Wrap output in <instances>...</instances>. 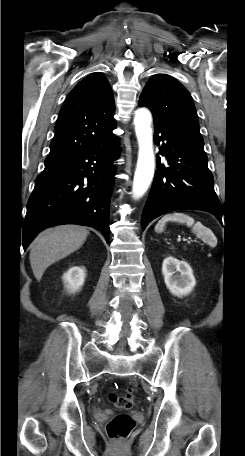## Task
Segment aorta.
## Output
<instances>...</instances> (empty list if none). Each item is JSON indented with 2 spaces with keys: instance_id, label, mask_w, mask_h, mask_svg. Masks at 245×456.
Returning a JSON list of instances; mask_svg holds the SVG:
<instances>
[{
  "instance_id": "obj_1",
  "label": "aorta",
  "mask_w": 245,
  "mask_h": 456,
  "mask_svg": "<svg viewBox=\"0 0 245 456\" xmlns=\"http://www.w3.org/2000/svg\"><path fill=\"white\" fill-rule=\"evenodd\" d=\"M152 116L149 110L140 108L135 112L134 125L139 151L133 180V194L137 199L148 189L155 168V158L151 130Z\"/></svg>"
}]
</instances>
